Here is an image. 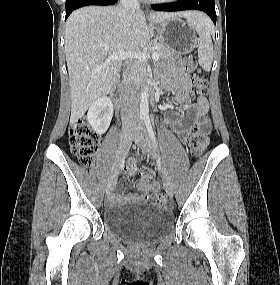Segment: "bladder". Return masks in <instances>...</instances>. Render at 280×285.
I'll return each mask as SVG.
<instances>
[{
  "label": "bladder",
  "mask_w": 280,
  "mask_h": 285,
  "mask_svg": "<svg viewBox=\"0 0 280 285\" xmlns=\"http://www.w3.org/2000/svg\"><path fill=\"white\" fill-rule=\"evenodd\" d=\"M104 224L117 236L151 242L169 231L173 217L150 204L117 205L104 212Z\"/></svg>",
  "instance_id": "obj_1"
}]
</instances>
